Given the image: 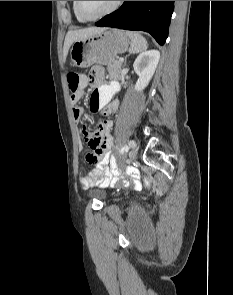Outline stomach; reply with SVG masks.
<instances>
[{
    "mask_svg": "<svg viewBox=\"0 0 233 295\" xmlns=\"http://www.w3.org/2000/svg\"><path fill=\"white\" fill-rule=\"evenodd\" d=\"M130 39L119 29H104L86 39L75 41L70 50L73 65L87 68L93 64L108 65L118 54L128 50Z\"/></svg>",
    "mask_w": 233,
    "mask_h": 295,
    "instance_id": "1",
    "label": "stomach"
}]
</instances>
